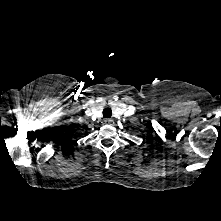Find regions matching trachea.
Returning a JSON list of instances; mask_svg holds the SVG:
<instances>
[{"instance_id":"trachea-1","label":"trachea","mask_w":221,"mask_h":221,"mask_svg":"<svg viewBox=\"0 0 221 221\" xmlns=\"http://www.w3.org/2000/svg\"><path fill=\"white\" fill-rule=\"evenodd\" d=\"M112 116V110L110 108H105L103 110V117L110 118Z\"/></svg>"}]
</instances>
